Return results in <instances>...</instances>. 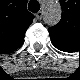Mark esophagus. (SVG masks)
<instances>
[{
	"mask_svg": "<svg viewBox=\"0 0 80 80\" xmlns=\"http://www.w3.org/2000/svg\"><path fill=\"white\" fill-rule=\"evenodd\" d=\"M42 16H43V12L42 11H39L38 13H36V18L38 20H41L42 19Z\"/></svg>",
	"mask_w": 80,
	"mask_h": 80,
	"instance_id": "esophagus-1",
	"label": "esophagus"
}]
</instances>
